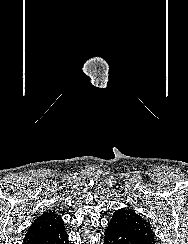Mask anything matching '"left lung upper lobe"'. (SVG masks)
<instances>
[{"label":"left lung upper lobe","instance_id":"left-lung-upper-lobe-1","mask_svg":"<svg viewBox=\"0 0 188 244\" xmlns=\"http://www.w3.org/2000/svg\"><path fill=\"white\" fill-rule=\"evenodd\" d=\"M115 212H119V214L123 215L134 226V228L137 230V232H139L141 236H143L148 241L155 243V236L151 229V226L142 216L129 208L120 209Z\"/></svg>","mask_w":188,"mask_h":244}]
</instances>
